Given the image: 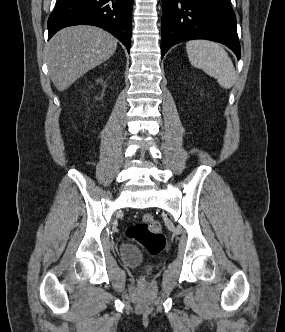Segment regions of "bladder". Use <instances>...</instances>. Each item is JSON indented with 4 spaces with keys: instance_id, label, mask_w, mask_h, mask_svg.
<instances>
[{
    "instance_id": "bladder-1",
    "label": "bladder",
    "mask_w": 285,
    "mask_h": 332,
    "mask_svg": "<svg viewBox=\"0 0 285 332\" xmlns=\"http://www.w3.org/2000/svg\"><path fill=\"white\" fill-rule=\"evenodd\" d=\"M121 260L128 265H137L142 261V252L133 244L123 243L119 247Z\"/></svg>"
}]
</instances>
